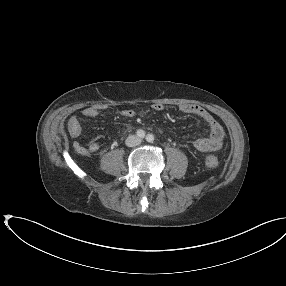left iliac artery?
Instances as JSON below:
<instances>
[{
  "instance_id": "left-iliac-artery-1",
  "label": "left iliac artery",
  "mask_w": 286,
  "mask_h": 286,
  "mask_svg": "<svg viewBox=\"0 0 286 286\" xmlns=\"http://www.w3.org/2000/svg\"><path fill=\"white\" fill-rule=\"evenodd\" d=\"M154 139H155V137H154L153 134H148V135L146 136V140H147V142H149V143H152V142L154 141Z\"/></svg>"
}]
</instances>
